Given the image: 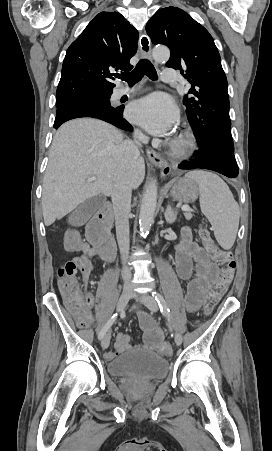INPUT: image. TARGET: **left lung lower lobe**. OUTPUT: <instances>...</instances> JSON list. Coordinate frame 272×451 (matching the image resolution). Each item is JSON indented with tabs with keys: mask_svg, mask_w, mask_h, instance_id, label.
Instances as JSON below:
<instances>
[{
	"mask_svg": "<svg viewBox=\"0 0 272 451\" xmlns=\"http://www.w3.org/2000/svg\"><path fill=\"white\" fill-rule=\"evenodd\" d=\"M195 154L199 155L198 159L183 162L178 167L180 169H209L229 178L237 177L239 170L233 155L215 148L202 149Z\"/></svg>",
	"mask_w": 272,
	"mask_h": 451,
	"instance_id": "obj_1",
	"label": "left lung lower lobe"
}]
</instances>
